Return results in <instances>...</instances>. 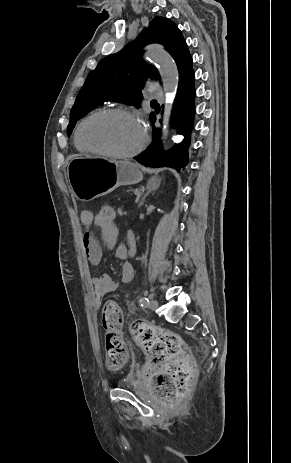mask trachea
I'll return each mask as SVG.
<instances>
[{"instance_id":"obj_1","label":"trachea","mask_w":291,"mask_h":463,"mask_svg":"<svg viewBox=\"0 0 291 463\" xmlns=\"http://www.w3.org/2000/svg\"><path fill=\"white\" fill-rule=\"evenodd\" d=\"M151 102H156V100H152Z\"/></svg>"}]
</instances>
